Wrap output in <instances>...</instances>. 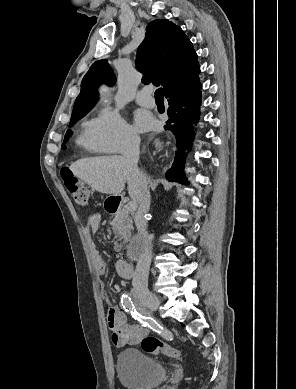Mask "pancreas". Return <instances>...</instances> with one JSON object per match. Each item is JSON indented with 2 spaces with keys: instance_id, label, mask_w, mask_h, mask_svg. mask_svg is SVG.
Segmentation results:
<instances>
[{
  "instance_id": "obj_1",
  "label": "pancreas",
  "mask_w": 296,
  "mask_h": 389,
  "mask_svg": "<svg viewBox=\"0 0 296 389\" xmlns=\"http://www.w3.org/2000/svg\"><path fill=\"white\" fill-rule=\"evenodd\" d=\"M113 233L116 237V249L119 250L120 243L124 240L126 243L131 238L133 230V221L127 209H121L111 222Z\"/></svg>"
}]
</instances>
